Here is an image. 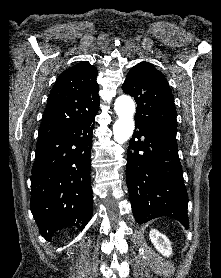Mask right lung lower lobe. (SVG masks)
I'll list each match as a JSON object with an SVG mask.
<instances>
[{
  "label": "right lung lower lobe",
  "instance_id": "obj_1",
  "mask_svg": "<svg viewBox=\"0 0 221 278\" xmlns=\"http://www.w3.org/2000/svg\"><path fill=\"white\" fill-rule=\"evenodd\" d=\"M94 116L36 146L30 209L40 234L50 240L65 227L82 230L92 217L90 155Z\"/></svg>",
  "mask_w": 221,
  "mask_h": 278
}]
</instances>
